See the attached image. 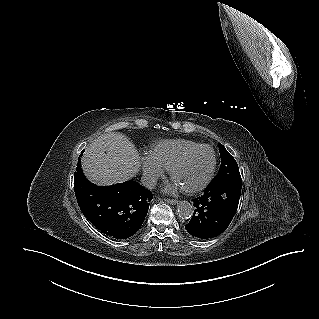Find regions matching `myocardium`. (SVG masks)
I'll return each mask as SVG.
<instances>
[{
    "label": "myocardium",
    "mask_w": 319,
    "mask_h": 319,
    "mask_svg": "<svg viewBox=\"0 0 319 319\" xmlns=\"http://www.w3.org/2000/svg\"><path fill=\"white\" fill-rule=\"evenodd\" d=\"M203 148L209 149L211 151L212 156H213L212 165H211V168H210L206 178L203 180L202 183H200L199 185H197L194 188L184 190V192L189 194V195L201 192L212 181L213 176L215 174L216 166H217V155H216L214 148L210 145H207V144H199L191 149H188L172 164L171 168L169 169L170 177L172 180H174V174L176 173V171L188 160V158L191 155H193L195 152H197L198 150L203 149Z\"/></svg>",
    "instance_id": "myocardium-1"
}]
</instances>
